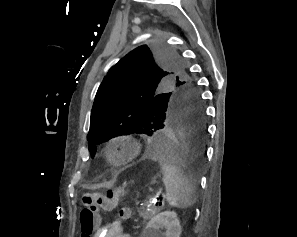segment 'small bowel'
I'll list each match as a JSON object with an SVG mask.
<instances>
[{
    "label": "small bowel",
    "instance_id": "1",
    "mask_svg": "<svg viewBox=\"0 0 297 237\" xmlns=\"http://www.w3.org/2000/svg\"><path fill=\"white\" fill-rule=\"evenodd\" d=\"M94 237H131L123 232L122 227L117 223H111L98 229Z\"/></svg>",
    "mask_w": 297,
    "mask_h": 237
}]
</instances>
